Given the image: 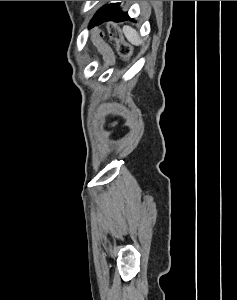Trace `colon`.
<instances>
[{"label":"colon","mask_w":237,"mask_h":300,"mask_svg":"<svg viewBox=\"0 0 237 300\" xmlns=\"http://www.w3.org/2000/svg\"><path fill=\"white\" fill-rule=\"evenodd\" d=\"M107 29L110 38L116 43L118 54L123 59H127L131 55V47L123 40L118 26L115 23H110ZM92 42L102 53L105 63H108L110 61V53L103 42L101 35L99 33H94Z\"/></svg>","instance_id":"colon-1"}]
</instances>
